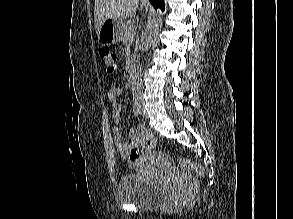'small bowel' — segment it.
Here are the masks:
<instances>
[{
	"mask_svg": "<svg viewBox=\"0 0 293 219\" xmlns=\"http://www.w3.org/2000/svg\"><path fill=\"white\" fill-rule=\"evenodd\" d=\"M122 94V89L118 86L113 87L108 92V99L112 105V116L116 126L113 129L115 147L122 157H128L129 152L134 147L139 146L144 140V133L147 130L145 126L140 125L136 131H130L132 137L130 142L123 141L121 131L118 127V124L121 121V104L118 101V98Z\"/></svg>",
	"mask_w": 293,
	"mask_h": 219,
	"instance_id": "1",
	"label": "small bowel"
}]
</instances>
